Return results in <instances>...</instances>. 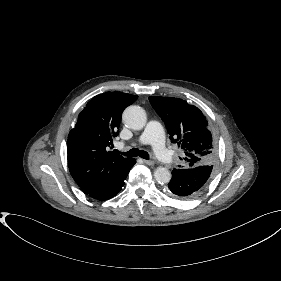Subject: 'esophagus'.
Segmentation results:
<instances>
[{"label": "esophagus", "instance_id": "esophagus-1", "mask_svg": "<svg viewBox=\"0 0 281 281\" xmlns=\"http://www.w3.org/2000/svg\"><path fill=\"white\" fill-rule=\"evenodd\" d=\"M143 162L147 165H154V161H152V160H145L144 159Z\"/></svg>", "mask_w": 281, "mask_h": 281}]
</instances>
